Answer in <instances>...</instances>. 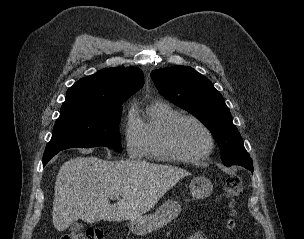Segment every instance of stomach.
Wrapping results in <instances>:
<instances>
[{"label":"stomach","instance_id":"obj_1","mask_svg":"<svg viewBox=\"0 0 304 239\" xmlns=\"http://www.w3.org/2000/svg\"><path fill=\"white\" fill-rule=\"evenodd\" d=\"M189 188L193 197L201 199L212 193L213 184L208 178L198 176L191 180ZM180 212V204L176 200L169 199L165 201L155 213L130 220V230L138 236L146 235L167 225V223L176 218Z\"/></svg>","mask_w":304,"mask_h":239}]
</instances>
